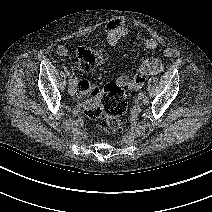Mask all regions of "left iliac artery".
<instances>
[{
	"instance_id": "1",
	"label": "left iliac artery",
	"mask_w": 212,
	"mask_h": 212,
	"mask_svg": "<svg viewBox=\"0 0 212 212\" xmlns=\"http://www.w3.org/2000/svg\"><path fill=\"white\" fill-rule=\"evenodd\" d=\"M149 102H150V99H149L147 96H145V97H144V104H145V105H148Z\"/></svg>"
}]
</instances>
